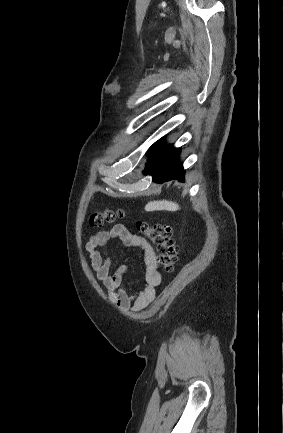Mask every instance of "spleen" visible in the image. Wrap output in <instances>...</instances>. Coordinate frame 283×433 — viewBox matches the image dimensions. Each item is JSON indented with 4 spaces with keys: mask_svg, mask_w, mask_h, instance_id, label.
Masks as SVG:
<instances>
[{
    "mask_svg": "<svg viewBox=\"0 0 283 433\" xmlns=\"http://www.w3.org/2000/svg\"><path fill=\"white\" fill-rule=\"evenodd\" d=\"M180 206L172 200H152L145 206V210H179Z\"/></svg>",
    "mask_w": 283,
    "mask_h": 433,
    "instance_id": "3e777b00",
    "label": "spleen"
}]
</instances>
